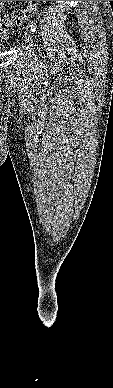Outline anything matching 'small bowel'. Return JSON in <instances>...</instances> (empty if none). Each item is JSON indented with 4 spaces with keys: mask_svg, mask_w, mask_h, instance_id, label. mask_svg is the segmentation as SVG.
I'll return each instance as SVG.
<instances>
[{
    "mask_svg": "<svg viewBox=\"0 0 113 388\" xmlns=\"http://www.w3.org/2000/svg\"><path fill=\"white\" fill-rule=\"evenodd\" d=\"M13 1H0V11L6 6V4H11Z\"/></svg>",
    "mask_w": 113,
    "mask_h": 388,
    "instance_id": "small-bowel-1",
    "label": "small bowel"
}]
</instances>
